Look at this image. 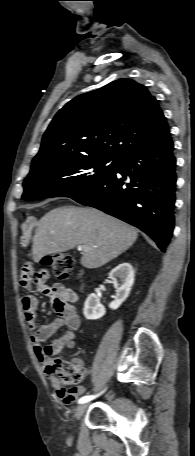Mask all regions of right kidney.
<instances>
[{
	"label": "right kidney",
	"instance_id": "obj_1",
	"mask_svg": "<svg viewBox=\"0 0 195 456\" xmlns=\"http://www.w3.org/2000/svg\"><path fill=\"white\" fill-rule=\"evenodd\" d=\"M135 272L129 263H121L110 273L109 278L113 281L116 295L109 307L116 310L127 299L134 283ZM119 278V281L117 280ZM106 313L104 306L100 303L99 297L92 293L84 304L83 314L88 320H96L103 317Z\"/></svg>",
	"mask_w": 195,
	"mask_h": 456
}]
</instances>
